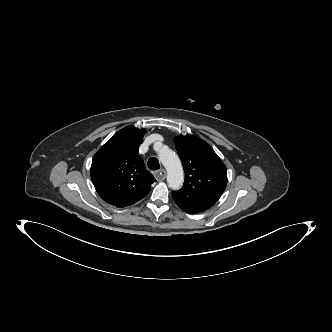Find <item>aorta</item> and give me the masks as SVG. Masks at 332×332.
<instances>
[{"mask_svg":"<svg viewBox=\"0 0 332 332\" xmlns=\"http://www.w3.org/2000/svg\"><path fill=\"white\" fill-rule=\"evenodd\" d=\"M159 161L167 170V182L173 190H178L184 182V172L177 154L167 146L157 149Z\"/></svg>","mask_w":332,"mask_h":332,"instance_id":"1","label":"aorta"}]
</instances>
